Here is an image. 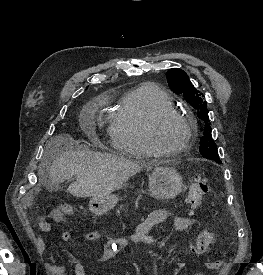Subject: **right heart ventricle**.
<instances>
[{"label": "right heart ventricle", "mask_w": 263, "mask_h": 275, "mask_svg": "<svg viewBox=\"0 0 263 275\" xmlns=\"http://www.w3.org/2000/svg\"><path fill=\"white\" fill-rule=\"evenodd\" d=\"M165 108H174L173 102L155 84H142L127 91L110 116L113 147L134 157L155 155L146 140L145 127L153 114Z\"/></svg>", "instance_id": "right-heart-ventricle-1"}]
</instances>
